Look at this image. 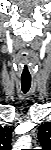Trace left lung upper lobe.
Segmentation results:
<instances>
[{
	"label": "left lung upper lobe",
	"mask_w": 51,
	"mask_h": 150,
	"mask_svg": "<svg viewBox=\"0 0 51 150\" xmlns=\"http://www.w3.org/2000/svg\"><path fill=\"white\" fill-rule=\"evenodd\" d=\"M38 138L43 149L51 147V122H45L40 126Z\"/></svg>",
	"instance_id": "1"
}]
</instances>
